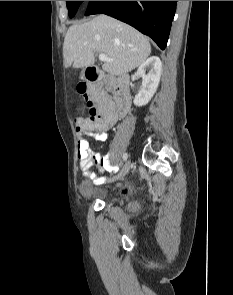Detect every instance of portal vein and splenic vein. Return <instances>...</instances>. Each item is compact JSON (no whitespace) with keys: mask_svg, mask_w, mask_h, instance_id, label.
I'll list each match as a JSON object with an SVG mask.
<instances>
[{"mask_svg":"<svg viewBox=\"0 0 233 295\" xmlns=\"http://www.w3.org/2000/svg\"><path fill=\"white\" fill-rule=\"evenodd\" d=\"M99 60L103 61V62H110L113 61V59L109 58L107 55L105 54H99Z\"/></svg>","mask_w":233,"mask_h":295,"instance_id":"18ae733b","label":"portal vein and splenic vein"}]
</instances>
